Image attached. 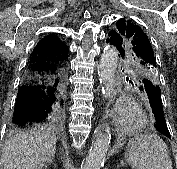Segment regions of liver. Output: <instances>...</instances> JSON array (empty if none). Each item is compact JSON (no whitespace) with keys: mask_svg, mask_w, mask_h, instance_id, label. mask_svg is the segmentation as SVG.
<instances>
[{"mask_svg":"<svg viewBox=\"0 0 177 169\" xmlns=\"http://www.w3.org/2000/svg\"><path fill=\"white\" fill-rule=\"evenodd\" d=\"M57 137L48 127L20 132L6 141L1 169H42L55 153Z\"/></svg>","mask_w":177,"mask_h":169,"instance_id":"1","label":"liver"}]
</instances>
